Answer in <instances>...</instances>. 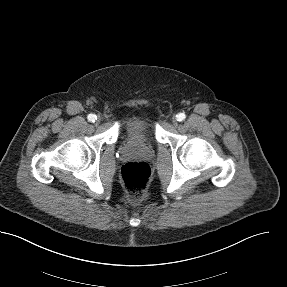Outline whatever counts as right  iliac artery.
Wrapping results in <instances>:
<instances>
[{
	"label": "right iliac artery",
	"mask_w": 287,
	"mask_h": 287,
	"mask_svg": "<svg viewBox=\"0 0 287 287\" xmlns=\"http://www.w3.org/2000/svg\"><path fill=\"white\" fill-rule=\"evenodd\" d=\"M87 118H88V121L95 122L97 117L95 114H89Z\"/></svg>",
	"instance_id": "82829eb1"
}]
</instances>
